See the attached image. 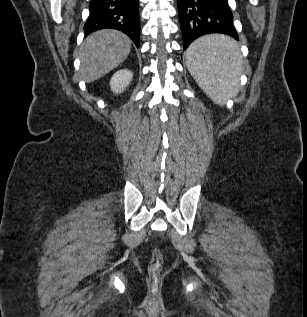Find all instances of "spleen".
Returning <instances> with one entry per match:
<instances>
[{
  "label": "spleen",
  "instance_id": "spleen-1",
  "mask_svg": "<svg viewBox=\"0 0 307 317\" xmlns=\"http://www.w3.org/2000/svg\"><path fill=\"white\" fill-rule=\"evenodd\" d=\"M188 70L218 105L238 93L241 54L237 43L223 35L197 39L186 53Z\"/></svg>",
  "mask_w": 307,
  "mask_h": 317
}]
</instances>
